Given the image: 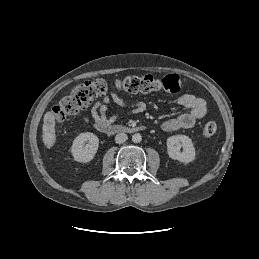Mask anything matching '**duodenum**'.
<instances>
[{"mask_svg": "<svg viewBox=\"0 0 259 259\" xmlns=\"http://www.w3.org/2000/svg\"><path fill=\"white\" fill-rule=\"evenodd\" d=\"M96 128L105 134L136 133L145 129L144 126H122L114 124H98Z\"/></svg>", "mask_w": 259, "mask_h": 259, "instance_id": "1", "label": "duodenum"}]
</instances>
